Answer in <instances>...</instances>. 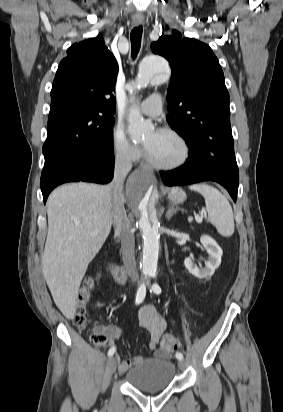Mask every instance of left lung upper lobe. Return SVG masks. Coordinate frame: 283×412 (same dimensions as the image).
Masks as SVG:
<instances>
[{
    "label": "left lung upper lobe",
    "instance_id": "1",
    "mask_svg": "<svg viewBox=\"0 0 283 412\" xmlns=\"http://www.w3.org/2000/svg\"><path fill=\"white\" fill-rule=\"evenodd\" d=\"M154 53L171 65L167 121L187 143L202 145L210 156L228 160L226 175L239 181L230 126L229 94L224 74L211 48L181 34L161 36L151 44Z\"/></svg>",
    "mask_w": 283,
    "mask_h": 412
}]
</instances>
